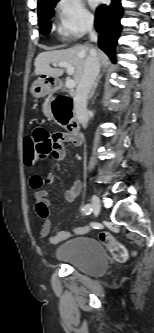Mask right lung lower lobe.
<instances>
[{
	"label": "right lung lower lobe",
	"mask_w": 154,
	"mask_h": 333,
	"mask_svg": "<svg viewBox=\"0 0 154 333\" xmlns=\"http://www.w3.org/2000/svg\"><path fill=\"white\" fill-rule=\"evenodd\" d=\"M121 0H112L108 6L101 5L96 11L95 28L99 32V47L115 61V47L121 32L120 19L123 10Z\"/></svg>",
	"instance_id": "1"
}]
</instances>
